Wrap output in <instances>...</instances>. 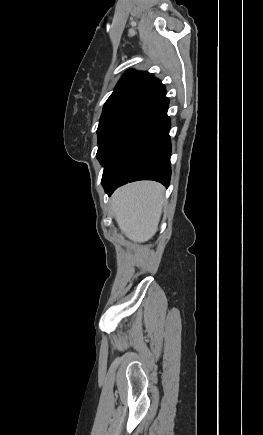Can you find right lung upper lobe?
<instances>
[{
  "label": "right lung upper lobe",
  "mask_w": 263,
  "mask_h": 435,
  "mask_svg": "<svg viewBox=\"0 0 263 435\" xmlns=\"http://www.w3.org/2000/svg\"><path fill=\"white\" fill-rule=\"evenodd\" d=\"M163 91L165 86L151 73L130 70L120 79L104 107L118 104L145 105Z\"/></svg>",
  "instance_id": "right-lung-upper-lobe-1"
}]
</instances>
